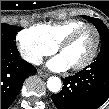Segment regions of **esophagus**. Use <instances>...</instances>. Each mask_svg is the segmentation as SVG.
<instances>
[{"instance_id":"esophagus-1","label":"esophagus","mask_w":109,"mask_h":109,"mask_svg":"<svg viewBox=\"0 0 109 109\" xmlns=\"http://www.w3.org/2000/svg\"><path fill=\"white\" fill-rule=\"evenodd\" d=\"M37 73H38L39 76H41V77H43V78H47V77L49 76L48 73L43 72V71H41V70H39Z\"/></svg>"}]
</instances>
